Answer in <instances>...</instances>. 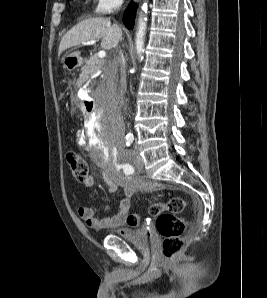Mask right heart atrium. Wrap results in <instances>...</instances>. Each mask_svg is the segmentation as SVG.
<instances>
[{
  "label": "right heart atrium",
  "instance_id": "obj_1",
  "mask_svg": "<svg viewBox=\"0 0 267 298\" xmlns=\"http://www.w3.org/2000/svg\"><path fill=\"white\" fill-rule=\"evenodd\" d=\"M123 0H95V12L97 14H107L118 8Z\"/></svg>",
  "mask_w": 267,
  "mask_h": 298
}]
</instances>
